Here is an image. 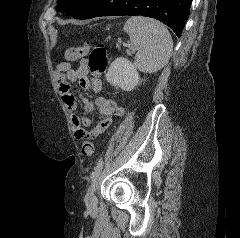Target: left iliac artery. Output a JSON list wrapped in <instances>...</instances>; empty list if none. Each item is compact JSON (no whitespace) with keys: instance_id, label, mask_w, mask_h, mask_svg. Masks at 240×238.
Segmentation results:
<instances>
[{"instance_id":"44dca946","label":"left iliac artery","mask_w":240,"mask_h":238,"mask_svg":"<svg viewBox=\"0 0 240 238\" xmlns=\"http://www.w3.org/2000/svg\"><path fill=\"white\" fill-rule=\"evenodd\" d=\"M102 168H103V161H99V163L96 165V167L94 168V171L91 174L92 181H95L97 179Z\"/></svg>"}]
</instances>
